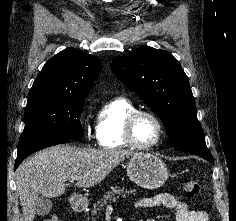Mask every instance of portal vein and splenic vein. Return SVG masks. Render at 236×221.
<instances>
[{"label": "portal vein and splenic vein", "instance_id": "portal-vein-and-splenic-vein-1", "mask_svg": "<svg viewBox=\"0 0 236 221\" xmlns=\"http://www.w3.org/2000/svg\"><path fill=\"white\" fill-rule=\"evenodd\" d=\"M75 180H77V178H75V177H72L71 179H70V181L71 182H74ZM110 205H108V207H109Z\"/></svg>", "mask_w": 236, "mask_h": 221}]
</instances>
